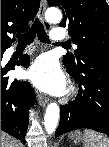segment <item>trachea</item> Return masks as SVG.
<instances>
[{
	"instance_id": "3493384b",
	"label": "trachea",
	"mask_w": 109,
	"mask_h": 147,
	"mask_svg": "<svg viewBox=\"0 0 109 147\" xmlns=\"http://www.w3.org/2000/svg\"><path fill=\"white\" fill-rule=\"evenodd\" d=\"M36 34L41 42L50 43L49 36L45 32L43 24L38 19H36L27 33L17 35L19 40L18 45L26 46L32 43Z\"/></svg>"
}]
</instances>
